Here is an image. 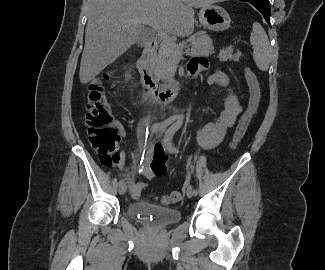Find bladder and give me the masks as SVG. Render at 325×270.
Returning a JSON list of instances; mask_svg holds the SVG:
<instances>
[{
  "instance_id": "1",
  "label": "bladder",
  "mask_w": 325,
  "mask_h": 270,
  "mask_svg": "<svg viewBox=\"0 0 325 270\" xmlns=\"http://www.w3.org/2000/svg\"><path fill=\"white\" fill-rule=\"evenodd\" d=\"M127 213L132 219L149 223L154 227H166L181 220V213L177 208L142 200L130 203Z\"/></svg>"
}]
</instances>
